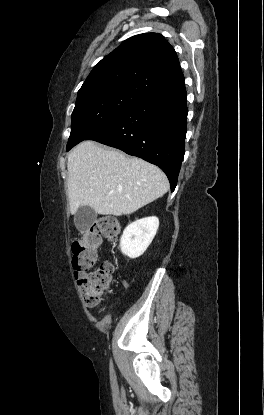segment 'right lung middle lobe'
I'll use <instances>...</instances> for the list:
<instances>
[{"label":"right lung middle lobe","mask_w":264,"mask_h":415,"mask_svg":"<svg viewBox=\"0 0 264 415\" xmlns=\"http://www.w3.org/2000/svg\"><path fill=\"white\" fill-rule=\"evenodd\" d=\"M142 97L122 91H111L79 97L72 112L71 134L67 151L97 130L114 121Z\"/></svg>","instance_id":"1"}]
</instances>
